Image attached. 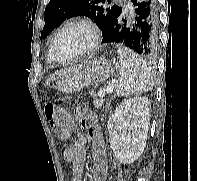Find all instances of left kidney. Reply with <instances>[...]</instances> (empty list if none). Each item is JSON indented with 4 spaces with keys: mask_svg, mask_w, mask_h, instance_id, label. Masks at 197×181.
I'll return each mask as SVG.
<instances>
[{
    "mask_svg": "<svg viewBox=\"0 0 197 181\" xmlns=\"http://www.w3.org/2000/svg\"><path fill=\"white\" fill-rule=\"evenodd\" d=\"M149 100L136 97L124 100L107 124L114 156L123 164H131L142 154L149 126Z\"/></svg>",
    "mask_w": 197,
    "mask_h": 181,
    "instance_id": "5707ae66",
    "label": "left kidney"
}]
</instances>
